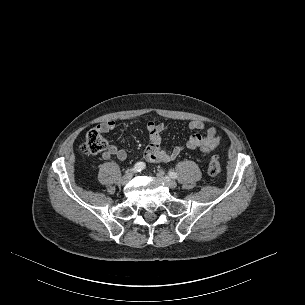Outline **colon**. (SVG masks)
<instances>
[{
    "label": "colon",
    "mask_w": 305,
    "mask_h": 305,
    "mask_svg": "<svg viewBox=\"0 0 305 305\" xmlns=\"http://www.w3.org/2000/svg\"><path fill=\"white\" fill-rule=\"evenodd\" d=\"M107 148V142L102 133L98 129L90 130L85 138V141L81 145V150L85 154L94 155L105 151ZM221 166L219 158L214 155L211 157L208 166V173L215 177L220 173Z\"/></svg>",
    "instance_id": "1"
}]
</instances>
